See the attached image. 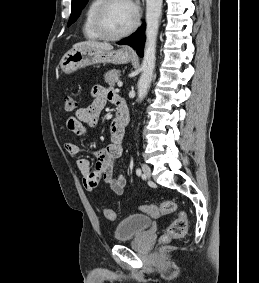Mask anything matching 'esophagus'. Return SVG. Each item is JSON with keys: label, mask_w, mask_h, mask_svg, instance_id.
Listing matches in <instances>:
<instances>
[{"label": "esophagus", "mask_w": 259, "mask_h": 283, "mask_svg": "<svg viewBox=\"0 0 259 283\" xmlns=\"http://www.w3.org/2000/svg\"><path fill=\"white\" fill-rule=\"evenodd\" d=\"M128 51H132L130 48H128Z\"/></svg>", "instance_id": "34e87169"}]
</instances>
